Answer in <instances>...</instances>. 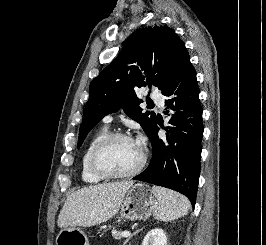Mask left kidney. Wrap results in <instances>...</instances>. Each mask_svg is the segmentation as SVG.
Masks as SVG:
<instances>
[{"label":"left kidney","instance_id":"obj_1","mask_svg":"<svg viewBox=\"0 0 266 245\" xmlns=\"http://www.w3.org/2000/svg\"><path fill=\"white\" fill-rule=\"evenodd\" d=\"M142 245H167L166 233L163 229H152L145 235Z\"/></svg>","mask_w":266,"mask_h":245}]
</instances>
